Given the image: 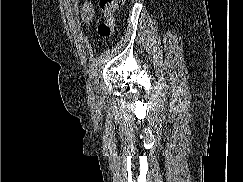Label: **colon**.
I'll list each match as a JSON object with an SVG mask.
<instances>
[{
  "mask_svg": "<svg viewBox=\"0 0 243 182\" xmlns=\"http://www.w3.org/2000/svg\"><path fill=\"white\" fill-rule=\"evenodd\" d=\"M124 3L125 0H99L98 6L104 15V21L97 28L100 39L107 40L112 36L115 26V12Z\"/></svg>",
  "mask_w": 243,
  "mask_h": 182,
  "instance_id": "1",
  "label": "colon"
}]
</instances>
